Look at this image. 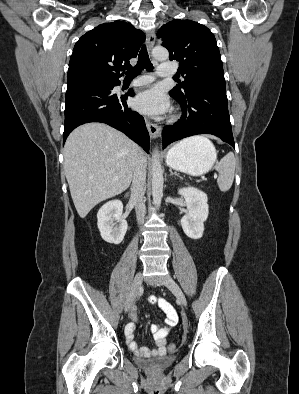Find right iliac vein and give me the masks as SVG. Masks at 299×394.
<instances>
[{"label": "right iliac vein", "mask_w": 299, "mask_h": 394, "mask_svg": "<svg viewBox=\"0 0 299 394\" xmlns=\"http://www.w3.org/2000/svg\"><path fill=\"white\" fill-rule=\"evenodd\" d=\"M142 278L143 277H142L141 272H138L135 275L134 280L131 285L130 293L128 295V298H127V301L125 304V312H128L131 309L132 305L134 304L135 299L137 298L140 288H141V285H142Z\"/></svg>", "instance_id": "63e3f726"}]
</instances>
